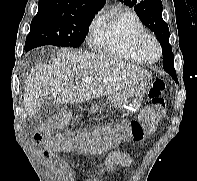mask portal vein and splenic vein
<instances>
[{
	"label": "portal vein and splenic vein",
	"mask_w": 197,
	"mask_h": 181,
	"mask_svg": "<svg viewBox=\"0 0 197 181\" xmlns=\"http://www.w3.org/2000/svg\"><path fill=\"white\" fill-rule=\"evenodd\" d=\"M82 81L87 82V81H90V79H88V78H82Z\"/></svg>",
	"instance_id": "18ae733b"
}]
</instances>
